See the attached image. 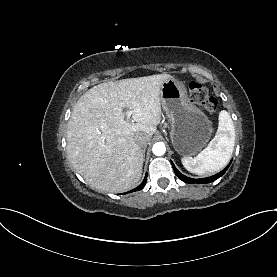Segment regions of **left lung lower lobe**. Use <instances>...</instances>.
Here are the masks:
<instances>
[{
  "instance_id": "1",
  "label": "left lung lower lobe",
  "mask_w": 277,
  "mask_h": 277,
  "mask_svg": "<svg viewBox=\"0 0 277 277\" xmlns=\"http://www.w3.org/2000/svg\"><path fill=\"white\" fill-rule=\"evenodd\" d=\"M231 162L228 164V166L222 170L221 172H219L218 174L214 175V176H211V177H208V178H201V179H193V178H189V177H186L184 176L183 174H181L177 169L176 167L174 166V164L172 163V166H173V169H174V172L175 174L184 182L186 183H197V184H203V183H210V182H213L215 181L216 179H218L219 177H221L225 172L226 170L228 169V167L230 166Z\"/></svg>"
}]
</instances>
